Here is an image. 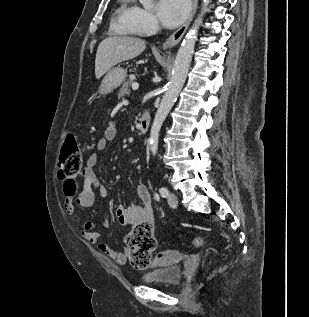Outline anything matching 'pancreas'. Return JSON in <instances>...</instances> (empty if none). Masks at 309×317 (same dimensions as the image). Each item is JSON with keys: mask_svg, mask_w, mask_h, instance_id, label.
<instances>
[{"mask_svg": "<svg viewBox=\"0 0 309 317\" xmlns=\"http://www.w3.org/2000/svg\"><path fill=\"white\" fill-rule=\"evenodd\" d=\"M133 84V81L131 79H127L122 87L119 89L118 92V98H124L128 95H130L131 90H130V86Z\"/></svg>", "mask_w": 309, "mask_h": 317, "instance_id": "cf45deb5", "label": "pancreas"}]
</instances>
